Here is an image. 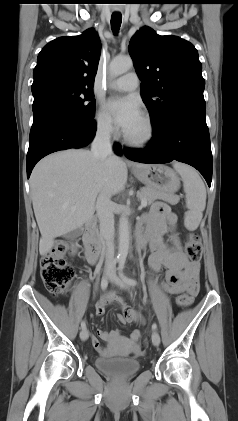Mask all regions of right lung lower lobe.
<instances>
[{"instance_id": "98d812e1", "label": "right lung lower lobe", "mask_w": 238, "mask_h": 421, "mask_svg": "<svg viewBox=\"0 0 238 421\" xmlns=\"http://www.w3.org/2000/svg\"><path fill=\"white\" fill-rule=\"evenodd\" d=\"M33 125L27 153V177L35 164L46 155L59 150L82 148L94 138L96 123L77 116L65 106L50 100L33 104ZM115 152L121 154L118 144Z\"/></svg>"}]
</instances>
